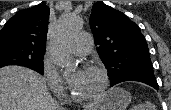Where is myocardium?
Masks as SVG:
<instances>
[{"label":"myocardium","instance_id":"myocardium-1","mask_svg":"<svg viewBox=\"0 0 171 110\" xmlns=\"http://www.w3.org/2000/svg\"><path fill=\"white\" fill-rule=\"evenodd\" d=\"M86 69H91V70L98 72L99 75L101 76L102 83H101L100 89L96 93H94L90 96H78L74 93L73 90H71V98L74 101L79 102V103H90V102H94V101L100 99L106 93V91L109 87V83H110L109 74L104 67H102L100 65H96V64H91V65L87 66Z\"/></svg>","mask_w":171,"mask_h":110}]
</instances>
